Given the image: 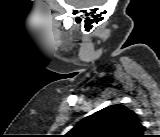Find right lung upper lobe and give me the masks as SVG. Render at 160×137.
<instances>
[{"instance_id": "right-lung-upper-lobe-1", "label": "right lung upper lobe", "mask_w": 160, "mask_h": 137, "mask_svg": "<svg viewBox=\"0 0 160 137\" xmlns=\"http://www.w3.org/2000/svg\"><path fill=\"white\" fill-rule=\"evenodd\" d=\"M144 126L136 113L124 105L103 108L81 120L68 132L70 137H141Z\"/></svg>"}]
</instances>
